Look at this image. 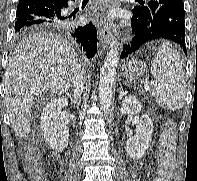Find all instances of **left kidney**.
Returning a JSON list of instances; mask_svg holds the SVG:
<instances>
[{"label":"left kidney","instance_id":"1","mask_svg":"<svg viewBox=\"0 0 197 181\" xmlns=\"http://www.w3.org/2000/svg\"><path fill=\"white\" fill-rule=\"evenodd\" d=\"M141 110V103L133 96L126 97L121 106L122 114L137 115ZM153 130L154 127L151 118L145 114L140 118L138 117L136 134L126 141L125 149L130 158L139 160L144 156L145 151L149 148Z\"/></svg>","mask_w":197,"mask_h":181}]
</instances>
